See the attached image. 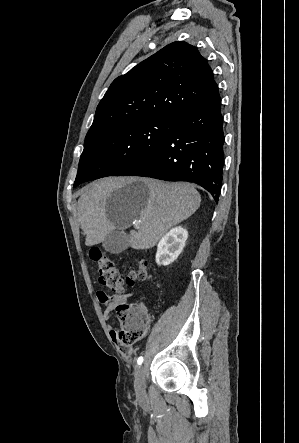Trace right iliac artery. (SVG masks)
I'll return each mask as SVG.
<instances>
[{"instance_id": "1", "label": "right iliac artery", "mask_w": 299, "mask_h": 443, "mask_svg": "<svg viewBox=\"0 0 299 443\" xmlns=\"http://www.w3.org/2000/svg\"><path fill=\"white\" fill-rule=\"evenodd\" d=\"M142 362H143V357L140 356V357L138 358V360H137V363H138V365H141Z\"/></svg>"}]
</instances>
